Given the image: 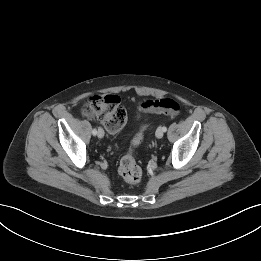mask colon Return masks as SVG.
<instances>
[{
    "instance_id": "5ec220e1",
    "label": "colon",
    "mask_w": 261,
    "mask_h": 261,
    "mask_svg": "<svg viewBox=\"0 0 261 261\" xmlns=\"http://www.w3.org/2000/svg\"><path fill=\"white\" fill-rule=\"evenodd\" d=\"M145 105L152 112L171 116L178 115L180 112L179 103L169 98L147 101ZM83 113L89 117L99 118L104 127L111 133L120 131L127 120L126 109L116 95L91 97L83 107ZM141 138V134H138L133 140V146H137ZM118 172L124 181L129 184H136L141 180L142 169L136 162L132 151L122 157Z\"/></svg>"
}]
</instances>
